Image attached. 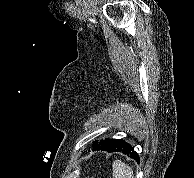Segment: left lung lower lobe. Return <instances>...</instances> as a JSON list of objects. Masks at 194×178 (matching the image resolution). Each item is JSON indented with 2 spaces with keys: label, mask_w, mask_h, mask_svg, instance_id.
I'll return each instance as SVG.
<instances>
[{
  "label": "left lung lower lobe",
  "mask_w": 194,
  "mask_h": 178,
  "mask_svg": "<svg viewBox=\"0 0 194 178\" xmlns=\"http://www.w3.org/2000/svg\"><path fill=\"white\" fill-rule=\"evenodd\" d=\"M92 147H93V151L104 150L107 152H122L139 162V156L134 151V148L130 144H127L124 140L106 139L100 142L96 141V142H93Z\"/></svg>",
  "instance_id": "obj_1"
}]
</instances>
